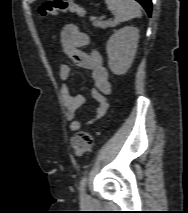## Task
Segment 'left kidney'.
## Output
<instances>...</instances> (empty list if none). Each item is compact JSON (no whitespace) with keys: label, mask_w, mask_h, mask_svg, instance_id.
Listing matches in <instances>:
<instances>
[{"label":"left kidney","mask_w":188,"mask_h":213,"mask_svg":"<svg viewBox=\"0 0 188 213\" xmlns=\"http://www.w3.org/2000/svg\"><path fill=\"white\" fill-rule=\"evenodd\" d=\"M139 30L126 26L111 35L107 42L108 66L116 75L125 74L131 67L136 55Z\"/></svg>","instance_id":"5707ae66"}]
</instances>
